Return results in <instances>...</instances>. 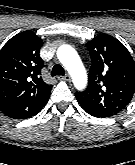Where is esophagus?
<instances>
[{"label":"esophagus","mask_w":135,"mask_h":165,"mask_svg":"<svg viewBox=\"0 0 135 165\" xmlns=\"http://www.w3.org/2000/svg\"><path fill=\"white\" fill-rule=\"evenodd\" d=\"M58 78L64 81H70L71 79L69 74H66L65 76H59Z\"/></svg>","instance_id":"1"}]
</instances>
